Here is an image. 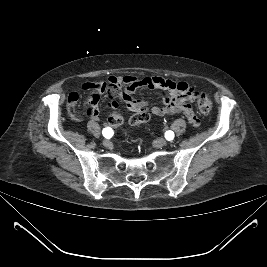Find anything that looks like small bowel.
<instances>
[{
  "mask_svg": "<svg viewBox=\"0 0 267 267\" xmlns=\"http://www.w3.org/2000/svg\"><path fill=\"white\" fill-rule=\"evenodd\" d=\"M141 87L160 90L162 92L161 105L148 108L147 102L134 100L131 94ZM83 89L89 91L86 113L93 119H96L99 115V98L101 94L105 93L109 98V106L113 109L118 108L116 98H119L129 108L144 107L157 116L181 113L192 126L197 127L200 123L190 104L198 97L199 93L193 86L183 81H174L159 76L144 78L112 76L108 82L86 83L83 85ZM78 101L79 95L76 92L69 94L67 106L74 118H79L75 113Z\"/></svg>",
  "mask_w": 267,
  "mask_h": 267,
  "instance_id": "obj_1",
  "label": "small bowel"
}]
</instances>
